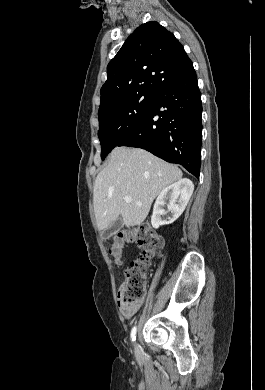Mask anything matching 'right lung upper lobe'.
Instances as JSON below:
<instances>
[{"instance_id":"obj_1","label":"right lung upper lobe","mask_w":265,"mask_h":390,"mask_svg":"<svg viewBox=\"0 0 265 390\" xmlns=\"http://www.w3.org/2000/svg\"><path fill=\"white\" fill-rule=\"evenodd\" d=\"M191 63L165 27L156 21L140 25L107 66L99 111L137 94H155Z\"/></svg>"}]
</instances>
